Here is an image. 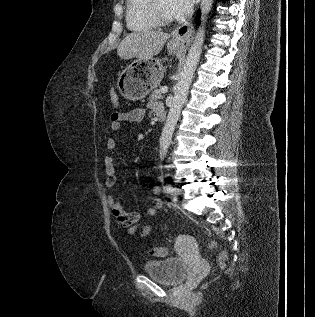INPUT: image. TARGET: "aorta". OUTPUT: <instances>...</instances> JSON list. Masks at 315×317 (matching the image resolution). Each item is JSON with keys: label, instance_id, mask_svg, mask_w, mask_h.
<instances>
[{"label": "aorta", "instance_id": "obj_1", "mask_svg": "<svg viewBox=\"0 0 315 317\" xmlns=\"http://www.w3.org/2000/svg\"><path fill=\"white\" fill-rule=\"evenodd\" d=\"M213 0H201V24L197 30L194 41L189 49L185 64L180 73L179 81L175 86L174 97L170 110L162 130L160 138V156L167 154L175 126L180 117L181 109L187 97L188 89L195 73L197 64L202 53L205 38V27L207 16L212 8Z\"/></svg>", "mask_w": 315, "mask_h": 317}]
</instances>
